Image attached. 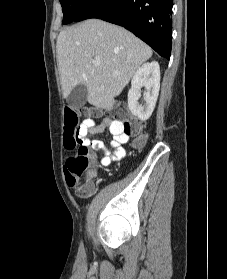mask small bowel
Wrapping results in <instances>:
<instances>
[{"instance_id":"c3829d8e","label":"small bowel","mask_w":227,"mask_h":279,"mask_svg":"<svg viewBox=\"0 0 227 279\" xmlns=\"http://www.w3.org/2000/svg\"><path fill=\"white\" fill-rule=\"evenodd\" d=\"M87 126V132L92 135L101 134L106 129L112 136L111 148L108 150L102 140L100 139H89L87 145L93 151H100L102 156L100 163L102 166H108L110 163L117 161L124 157L125 149L124 144L129 139V134L125 132L119 123H116L112 118L105 116L102 117L98 122L89 120ZM94 171H90L89 176H92ZM69 177V174L67 173Z\"/></svg>"}]
</instances>
